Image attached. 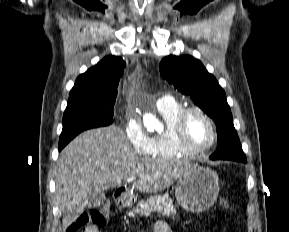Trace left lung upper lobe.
<instances>
[{
	"label": "left lung upper lobe",
	"mask_w": 289,
	"mask_h": 232,
	"mask_svg": "<svg viewBox=\"0 0 289 232\" xmlns=\"http://www.w3.org/2000/svg\"><path fill=\"white\" fill-rule=\"evenodd\" d=\"M160 73L215 121L218 145L210 158L246 161L225 92L203 64L189 55H169L160 62Z\"/></svg>",
	"instance_id": "1"
}]
</instances>
